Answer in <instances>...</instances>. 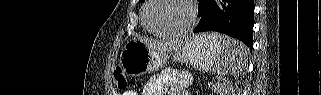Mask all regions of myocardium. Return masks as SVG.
I'll use <instances>...</instances> for the list:
<instances>
[{"mask_svg":"<svg viewBox=\"0 0 321 95\" xmlns=\"http://www.w3.org/2000/svg\"><path fill=\"white\" fill-rule=\"evenodd\" d=\"M158 0H149L143 10V15H142V20H143V24L145 26V28L152 34L156 35V36H163V37H171V36H183L188 34L189 32L192 31V29L194 28V26L196 25L197 22V7L196 4L193 0H181L184 3H186V5L189 8V12H190V21L189 24L182 30H177V31H160V30H156L153 27L150 26L149 22H148V11L150 9V7L156 3Z\"/></svg>","mask_w":321,"mask_h":95,"instance_id":"1","label":"myocardium"}]
</instances>
